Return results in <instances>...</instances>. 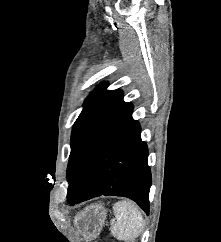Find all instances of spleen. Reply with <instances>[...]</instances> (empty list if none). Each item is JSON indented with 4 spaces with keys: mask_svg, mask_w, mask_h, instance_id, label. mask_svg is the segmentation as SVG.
I'll use <instances>...</instances> for the list:
<instances>
[{
    "mask_svg": "<svg viewBox=\"0 0 221 242\" xmlns=\"http://www.w3.org/2000/svg\"><path fill=\"white\" fill-rule=\"evenodd\" d=\"M116 222L111 233L118 240H132L144 230V219L137 205L130 200L118 201L113 206Z\"/></svg>",
    "mask_w": 221,
    "mask_h": 242,
    "instance_id": "3e777b00",
    "label": "spleen"
}]
</instances>
